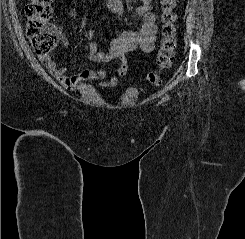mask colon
Returning <instances> with one entry per match:
<instances>
[{
    "instance_id": "obj_1",
    "label": "colon",
    "mask_w": 245,
    "mask_h": 239,
    "mask_svg": "<svg viewBox=\"0 0 245 239\" xmlns=\"http://www.w3.org/2000/svg\"><path fill=\"white\" fill-rule=\"evenodd\" d=\"M53 0H30L25 6L27 16L26 35L39 57L50 56L58 44V35L49 21L53 15ZM161 42L156 57V69L147 75L152 86H159L161 73L168 69L174 60L176 48L175 8L177 0H161Z\"/></svg>"
}]
</instances>
